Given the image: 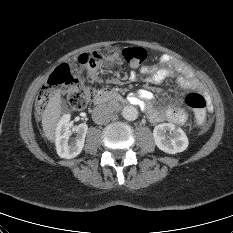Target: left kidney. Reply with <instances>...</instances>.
<instances>
[{"mask_svg": "<svg viewBox=\"0 0 233 233\" xmlns=\"http://www.w3.org/2000/svg\"><path fill=\"white\" fill-rule=\"evenodd\" d=\"M167 131H169L170 136H166ZM153 137L156 146L168 154L183 152L189 144L185 132L172 123H162L155 126Z\"/></svg>", "mask_w": 233, "mask_h": 233, "instance_id": "obj_1", "label": "left kidney"}]
</instances>
